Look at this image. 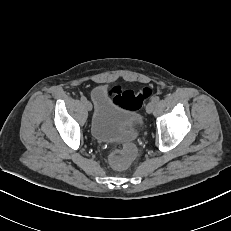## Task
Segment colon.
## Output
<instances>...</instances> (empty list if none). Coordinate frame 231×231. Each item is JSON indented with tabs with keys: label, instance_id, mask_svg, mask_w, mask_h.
<instances>
[{
	"label": "colon",
	"instance_id": "1",
	"mask_svg": "<svg viewBox=\"0 0 231 231\" xmlns=\"http://www.w3.org/2000/svg\"><path fill=\"white\" fill-rule=\"evenodd\" d=\"M109 92L117 104L130 110L141 108L143 103L153 94V90L150 87H144L135 92L133 90L123 89L121 86H114ZM134 156L135 148L128 144L121 149L114 150L109 155V163L115 169H125L131 163Z\"/></svg>",
	"mask_w": 231,
	"mask_h": 231
}]
</instances>
